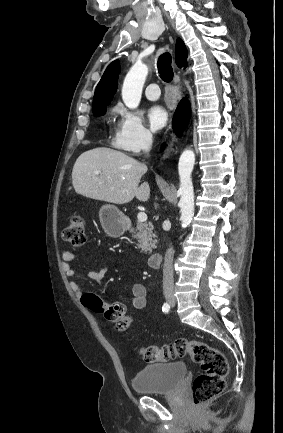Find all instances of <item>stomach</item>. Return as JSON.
<instances>
[{
	"label": "stomach",
	"mask_w": 283,
	"mask_h": 433,
	"mask_svg": "<svg viewBox=\"0 0 283 433\" xmlns=\"http://www.w3.org/2000/svg\"><path fill=\"white\" fill-rule=\"evenodd\" d=\"M102 227L109 237H121L127 231L125 214L115 204H103L99 210Z\"/></svg>",
	"instance_id": "0dacf381"
}]
</instances>
